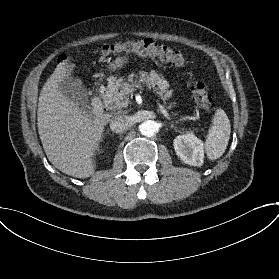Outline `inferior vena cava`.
I'll list each match as a JSON object with an SVG mask.
<instances>
[{"instance_id":"inferior-vena-cava-1","label":"inferior vena cava","mask_w":279,"mask_h":279,"mask_svg":"<svg viewBox=\"0 0 279 279\" xmlns=\"http://www.w3.org/2000/svg\"><path fill=\"white\" fill-rule=\"evenodd\" d=\"M131 126V122L127 116L117 115L110 121V129L113 133L126 132Z\"/></svg>"}]
</instances>
